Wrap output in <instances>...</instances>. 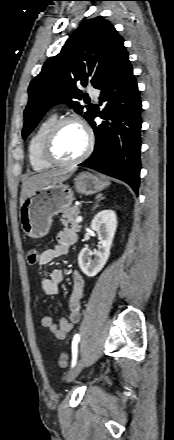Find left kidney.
<instances>
[{
  "label": "left kidney",
  "instance_id": "1",
  "mask_svg": "<svg viewBox=\"0 0 174 440\" xmlns=\"http://www.w3.org/2000/svg\"><path fill=\"white\" fill-rule=\"evenodd\" d=\"M117 228V217L113 210H103L95 215L91 222V229L98 234L99 249L95 252L83 248L78 256V264L82 272L93 277L97 275L106 264L114 235ZM94 255V258H91Z\"/></svg>",
  "mask_w": 174,
  "mask_h": 440
}]
</instances>
